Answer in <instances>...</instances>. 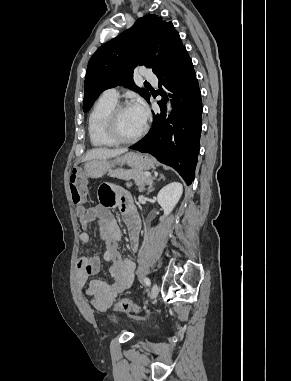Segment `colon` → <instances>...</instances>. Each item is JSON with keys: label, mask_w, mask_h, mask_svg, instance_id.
<instances>
[{"label": "colon", "mask_w": 291, "mask_h": 381, "mask_svg": "<svg viewBox=\"0 0 291 381\" xmlns=\"http://www.w3.org/2000/svg\"><path fill=\"white\" fill-rule=\"evenodd\" d=\"M72 203L79 214L85 209V182L78 171H73L69 180ZM101 202L109 204V198L100 196ZM114 310L124 313H139L141 308L130 299H120L114 305Z\"/></svg>", "instance_id": "obj_1"}]
</instances>
